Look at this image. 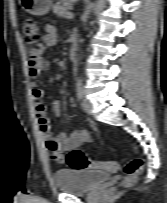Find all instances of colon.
I'll list each match as a JSON object with an SVG mask.
<instances>
[{
	"mask_svg": "<svg viewBox=\"0 0 167 203\" xmlns=\"http://www.w3.org/2000/svg\"><path fill=\"white\" fill-rule=\"evenodd\" d=\"M23 32L25 37V44L27 47H34L40 40V32L37 23L34 20L27 19L23 23ZM67 163L72 169H105L106 163L93 162L89 160L85 154L79 149H73L67 156ZM143 170V160L136 158L125 164L124 179L122 181L123 187H128L134 184L136 178Z\"/></svg>",
	"mask_w": 167,
	"mask_h": 203,
	"instance_id": "5ec220e1",
	"label": "colon"
}]
</instances>
